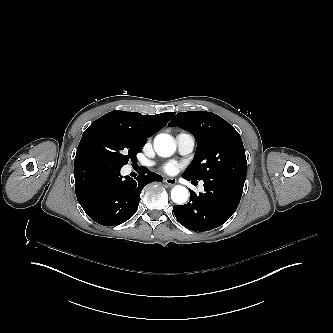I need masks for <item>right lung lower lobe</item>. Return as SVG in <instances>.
Masks as SVG:
<instances>
[{
  "instance_id": "obj_1",
  "label": "right lung lower lobe",
  "mask_w": 333,
  "mask_h": 333,
  "mask_svg": "<svg viewBox=\"0 0 333 333\" xmlns=\"http://www.w3.org/2000/svg\"><path fill=\"white\" fill-rule=\"evenodd\" d=\"M120 169L92 155H76L75 192L86 214L104 226L127 221L137 210L143 187L162 177L143 168L135 178L123 177Z\"/></svg>"
}]
</instances>
